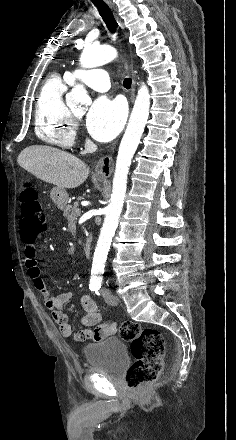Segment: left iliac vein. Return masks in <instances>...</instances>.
<instances>
[{"label": "left iliac vein", "instance_id": "1", "mask_svg": "<svg viewBox=\"0 0 236 440\" xmlns=\"http://www.w3.org/2000/svg\"><path fill=\"white\" fill-rule=\"evenodd\" d=\"M105 302L109 305L116 306L119 303V299L117 296L107 293L104 295Z\"/></svg>", "mask_w": 236, "mask_h": 440}]
</instances>
